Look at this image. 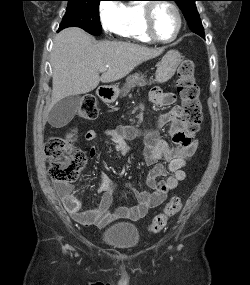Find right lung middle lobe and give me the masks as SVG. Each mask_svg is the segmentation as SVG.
<instances>
[{
	"label": "right lung middle lobe",
	"mask_w": 250,
	"mask_h": 285,
	"mask_svg": "<svg viewBox=\"0 0 250 285\" xmlns=\"http://www.w3.org/2000/svg\"><path fill=\"white\" fill-rule=\"evenodd\" d=\"M68 6L60 28L78 26L98 36L101 34L99 3L101 0H66Z\"/></svg>",
	"instance_id": "dd1d6c3e"
}]
</instances>
